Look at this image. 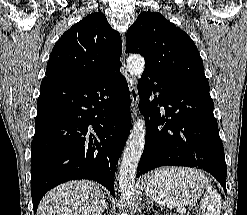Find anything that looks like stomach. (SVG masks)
Listing matches in <instances>:
<instances>
[{
	"mask_svg": "<svg viewBox=\"0 0 247 215\" xmlns=\"http://www.w3.org/2000/svg\"><path fill=\"white\" fill-rule=\"evenodd\" d=\"M204 177L189 168H161L146 182V194L164 207H182L195 202L204 188Z\"/></svg>",
	"mask_w": 247,
	"mask_h": 215,
	"instance_id": "stomach-1",
	"label": "stomach"
}]
</instances>
